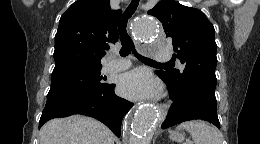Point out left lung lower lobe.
Here are the masks:
<instances>
[{"label": "left lung lower lobe", "mask_w": 260, "mask_h": 144, "mask_svg": "<svg viewBox=\"0 0 260 144\" xmlns=\"http://www.w3.org/2000/svg\"><path fill=\"white\" fill-rule=\"evenodd\" d=\"M168 89L173 104L161 125L163 129L190 120L209 121L220 128L215 93L196 86H187L181 90H173L168 86Z\"/></svg>", "instance_id": "obj_1"}]
</instances>
